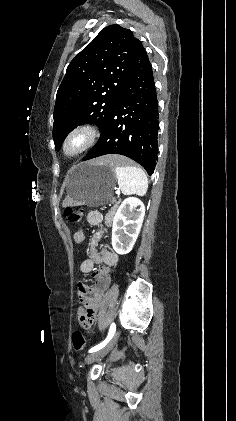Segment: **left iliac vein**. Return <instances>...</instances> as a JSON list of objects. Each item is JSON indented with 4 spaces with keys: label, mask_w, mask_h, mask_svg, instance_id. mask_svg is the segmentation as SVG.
Instances as JSON below:
<instances>
[{
    "label": "left iliac vein",
    "mask_w": 236,
    "mask_h": 421,
    "mask_svg": "<svg viewBox=\"0 0 236 421\" xmlns=\"http://www.w3.org/2000/svg\"><path fill=\"white\" fill-rule=\"evenodd\" d=\"M117 338H118V334L114 333L113 337L110 339V341L103 348L87 355L84 359L86 364H90V363L94 362L95 360H97V359L103 357L104 355H106L113 348Z\"/></svg>",
    "instance_id": "4c4485c4"
}]
</instances>
